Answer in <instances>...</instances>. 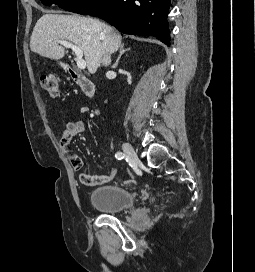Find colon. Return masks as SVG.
<instances>
[{"label": "colon", "mask_w": 255, "mask_h": 272, "mask_svg": "<svg viewBox=\"0 0 255 272\" xmlns=\"http://www.w3.org/2000/svg\"><path fill=\"white\" fill-rule=\"evenodd\" d=\"M42 88L52 97L57 98L60 93V76L56 73H47L41 76Z\"/></svg>", "instance_id": "1"}]
</instances>
